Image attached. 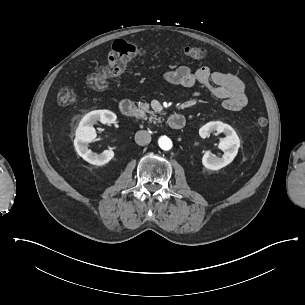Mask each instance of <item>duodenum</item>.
<instances>
[{
  "label": "duodenum",
  "mask_w": 305,
  "mask_h": 305,
  "mask_svg": "<svg viewBox=\"0 0 305 305\" xmlns=\"http://www.w3.org/2000/svg\"><path fill=\"white\" fill-rule=\"evenodd\" d=\"M120 110L126 117H132L138 113L136 104L131 100H123L120 103ZM168 125L171 129L179 130L185 125V118L179 113L172 114L168 117Z\"/></svg>",
  "instance_id": "obj_1"
}]
</instances>
